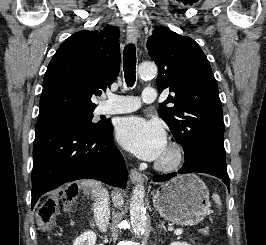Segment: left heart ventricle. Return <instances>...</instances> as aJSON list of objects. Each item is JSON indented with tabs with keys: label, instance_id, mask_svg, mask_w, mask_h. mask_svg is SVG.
<instances>
[{
	"label": "left heart ventricle",
	"instance_id": "left-heart-ventricle-1",
	"mask_svg": "<svg viewBox=\"0 0 266 245\" xmlns=\"http://www.w3.org/2000/svg\"><path fill=\"white\" fill-rule=\"evenodd\" d=\"M171 156V153L168 152L166 149L164 150L163 154L161 155L160 158H166V157H170Z\"/></svg>",
	"mask_w": 266,
	"mask_h": 245
}]
</instances>
